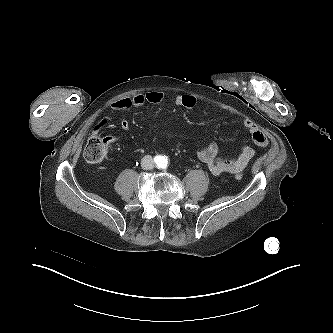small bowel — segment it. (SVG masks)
<instances>
[{
  "mask_svg": "<svg viewBox=\"0 0 333 333\" xmlns=\"http://www.w3.org/2000/svg\"><path fill=\"white\" fill-rule=\"evenodd\" d=\"M163 100V92L153 90L131 98L119 99L111 104V110L112 112H126L132 107H139L146 103L160 104ZM174 103L177 106L192 109L196 106L197 99L191 94H181L175 98ZM242 125L250 134L255 145L259 147H266L268 145L267 137L252 120L245 119ZM120 126L124 130L130 129V123L125 117L121 118ZM197 156L213 175L218 176L224 173L236 174L243 171L253 158L254 150L249 146H244L238 155L224 158L218 155V145L215 142H211L202 148Z\"/></svg>",
  "mask_w": 333,
  "mask_h": 333,
  "instance_id": "obj_1",
  "label": "small bowel"
}]
</instances>
